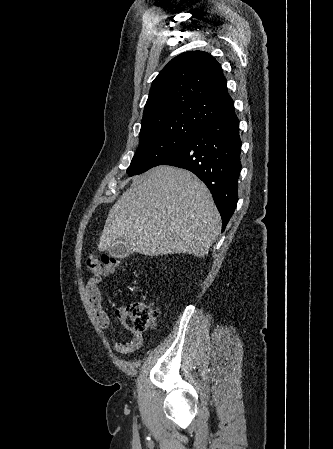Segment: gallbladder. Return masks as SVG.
<instances>
[{
  "label": "gallbladder",
  "mask_w": 333,
  "mask_h": 449,
  "mask_svg": "<svg viewBox=\"0 0 333 449\" xmlns=\"http://www.w3.org/2000/svg\"><path fill=\"white\" fill-rule=\"evenodd\" d=\"M110 256L115 258H124L133 253L130 245L122 240H118L113 246L108 249Z\"/></svg>",
  "instance_id": "obj_1"
}]
</instances>
